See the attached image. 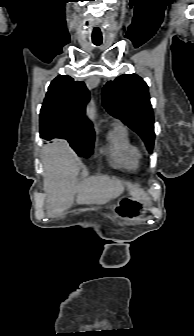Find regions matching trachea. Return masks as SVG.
Wrapping results in <instances>:
<instances>
[{"label": "trachea", "instance_id": "trachea-1", "mask_svg": "<svg viewBox=\"0 0 194 336\" xmlns=\"http://www.w3.org/2000/svg\"><path fill=\"white\" fill-rule=\"evenodd\" d=\"M93 44L96 45V46H99L102 44V41H93Z\"/></svg>", "mask_w": 194, "mask_h": 336}]
</instances>
